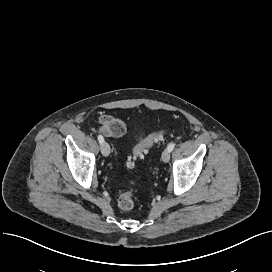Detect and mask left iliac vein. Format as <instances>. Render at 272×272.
<instances>
[{
    "label": "left iliac vein",
    "instance_id": "obj_1",
    "mask_svg": "<svg viewBox=\"0 0 272 272\" xmlns=\"http://www.w3.org/2000/svg\"><path fill=\"white\" fill-rule=\"evenodd\" d=\"M170 154L171 152L167 149H165L162 153V160L163 162H168L170 160Z\"/></svg>",
    "mask_w": 272,
    "mask_h": 272
}]
</instances>
